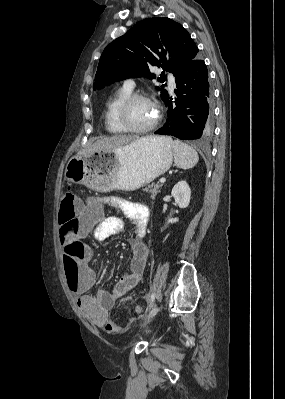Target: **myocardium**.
<instances>
[{
	"label": "myocardium",
	"instance_id": "1",
	"mask_svg": "<svg viewBox=\"0 0 285 399\" xmlns=\"http://www.w3.org/2000/svg\"><path fill=\"white\" fill-rule=\"evenodd\" d=\"M138 100H145V101L150 102L154 106L155 111H156V116H155L154 121L151 124H149L145 127H142V128L133 127L129 122V109H130L131 105ZM118 119H119L121 126L126 131L131 132V133H136V134H142V133L151 131L159 124V122L161 120V111H160L158 104L148 95L142 94V93H133V94L129 95L121 104L119 111H118Z\"/></svg>",
	"mask_w": 285,
	"mask_h": 399
}]
</instances>
